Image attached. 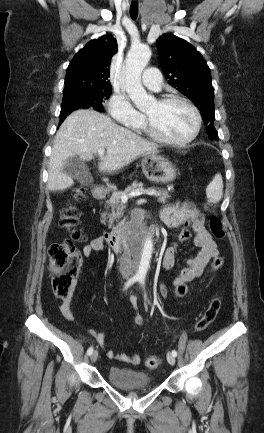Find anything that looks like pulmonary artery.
Returning <instances> with one entry per match:
<instances>
[{
    "instance_id": "e3ab8cb5",
    "label": "pulmonary artery",
    "mask_w": 264,
    "mask_h": 433,
    "mask_svg": "<svg viewBox=\"0 0 264 433\" xmlns=\"http://www.w3.org/2000/svg\"><path fill=\"white\" fill-rule=\"evenodd\" d=\"M143 84L150 90L158 92L162 88L161 73L157 68L150 67L146 70L142 78Z\"/></svg>"
}]
</instances>
